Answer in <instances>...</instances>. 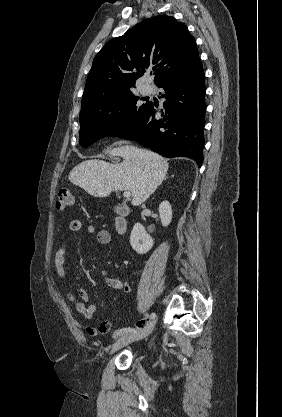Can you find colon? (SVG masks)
Here are the masks:
<instances>
[{
	"instance_id": "obj_1",
	"label": "colon",
	"mask_w": 282,
	"mask_h": 417,
	"mask_svg": "<svg viewBox=\"0 0 282 417\" xmlns=\"http://www.w3.org/2000/svg\"><path fill=\"white\" fill-rule=\"evenodd\" d=\"M74 203V194L71 186H64L59 189L55 199V205L58 210H65Z\"/></svg>"
}]
</instances>
